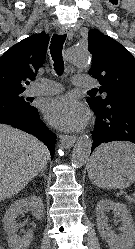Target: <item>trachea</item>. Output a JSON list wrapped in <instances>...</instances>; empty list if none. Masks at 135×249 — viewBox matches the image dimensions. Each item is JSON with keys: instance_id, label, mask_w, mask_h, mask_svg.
Returning <instances> with one entry per match:
<instances>
[{"instance_id": "trachea-1", "label": "trachea", "mask_w": 135, "mask_h": 249, "mask_svg": "<svg viewBox=\"0 0 135 249\" xmlns=\"http://www.w3.org/2000/svg\"><path fill=\"white\" fill-rule=\"evenodd\" d=\"M67 35H57L54 34L51 39L50 53L54 61V70L57 74L62 75L64 72V62L62 58V49ZM96 91V90H90Z\"/></svg>"}]
</instances>
